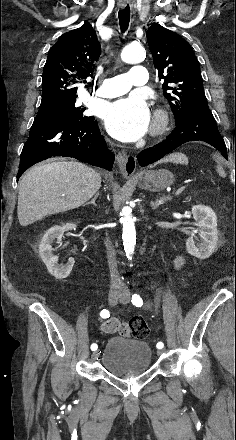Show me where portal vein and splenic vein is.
I'll return each mask as SVG.
<instances>
[{
  "instance_id": "1",
  "label": "portal vein and splenic vein",
  "mask_w": 236,
  "mask_h": 440,
  "mask_svg": "<svg viewBox=\"0 0 236 440\" xmlns=\"http://www.w3.org/2000/svg\"><path fill=\"white\" fill-rule=\"evenodd\" d=\"M185 189V186L184 187H181V188H179L176 192H175V196H178L179 194H181L182 193V191Z\"/></svg>"
}]
</instances>
